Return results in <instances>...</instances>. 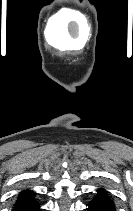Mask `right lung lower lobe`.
Here are the masks:
<instances>
[{"label":"right lung lower lobe","instance_id":"obj_1","mask_svg":"<svg viewBox=\"0 0 133 211\" xmlns=\"http://www.w3.org/2000/svg\"><path fill=\"white\" fill-rule=\"evenodd\" d=\"M12 211H42V210L40 209V204L36 200H34L30 203L14 206Z\"/></svg>","mask_w":133,"mask_h":211}]
</instances>
